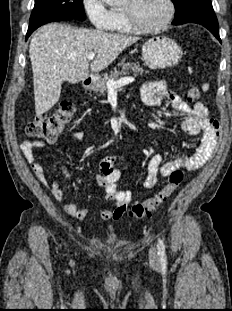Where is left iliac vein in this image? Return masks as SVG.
I'll return each instance as SVG.
<instances>
[{
    "label": "left iliac vein",
    "instance_id": "left-iliac-vein-1",
    "mask_svg": "<svg viewBox=\"0 0 232 311\" xmlns=\"http://www.w3.org/2000/svg\"><path fill=\"white\" fill-rule=\"evenodd\" d=\"M149 259L152 263L158 262V253L154 247H151L149 250Z\"/></svg>",
    "mask_w": 232,
    "mask_h": 311
}]
</instances>
